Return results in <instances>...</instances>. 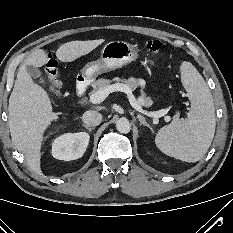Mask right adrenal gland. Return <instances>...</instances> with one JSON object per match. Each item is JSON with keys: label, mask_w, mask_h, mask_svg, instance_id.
Masks as SVG:
<instances>
[{"label": "right adrenal gland", "mask_w": 233, "mask_h": 233, "mask_svg": "<svg viewBox=\"0 0 233 233\" xmlns=\"http://www.w3.org/2000/svg\"><path fill=\"white\" fill-rule=\"evenodd\" d=\"M84 128H86L89 132H91L94 128L93 127H89L85 124L82 125Z\"/></svg>", "instance_id": "1"}]
</instances>
